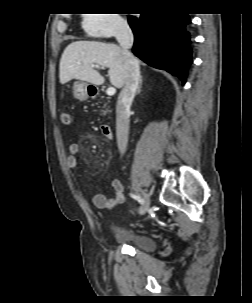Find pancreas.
Segmentation results:
<instances>
[{
    "mask_svg": "<svg viewBox=\"0 0 252 303\" xmlns=\"http://www.w3.org/2000/svg\"><path fill=\"white\" fill-rule=\"evenodd\" d=\"M104 107H106V104L104 105ZM102 114L105 115L107 112H109V110H101Z\"/></svg>",
    "mask_w": 252,
    "mask_h": 303,
    "instance_id": "1",
    "label": "pancreas"
}]
</instances>
